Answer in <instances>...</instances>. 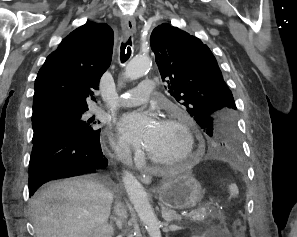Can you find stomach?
Masks as SVG:
<instances>
[{
  "mask_svg": "<svg viewBox=\"0 0 297 237\" xmlns=\"http://www.w3.org/2000/svg\"><path fill=\"white\" fill-rule=\"evenodd\" d=\"M161 205L173 209H190L203 199L200 182L185 172L176 178L164 182L157 191Z\"/></svg>",
  "mask_w": 297,
  "mask_h": 237,
  "instance_id": "0dacf381",
  "label": "stomach"
}]
</instances>
